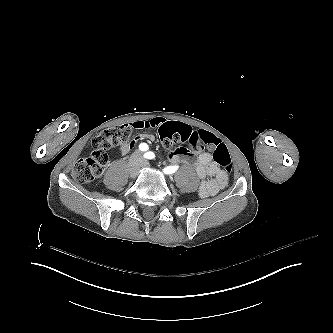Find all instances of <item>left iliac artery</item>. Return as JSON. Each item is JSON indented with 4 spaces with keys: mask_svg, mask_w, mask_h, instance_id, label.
Segmentation results:
<instances>
[{
    "mask_svg": "<svg viewBox=\"0 0 333 333\" xmlns=\"http://www.w3.org/2000/svg\"><path fill=\"white\" fill-rule=\"evenodd\" d=\"M145 156H147V158L149 159H153L155 157L154 153L153 152H148L145 154ZM178 169V166H168L166 168L163 169V171L166 173V174H172L174 173L176 170Z\"/></svg>",
    "mask_w": 333,
    "mask_h": 333,
    "instance_id": "1",
    "label": "left iliac artery"
}]
</instances>
